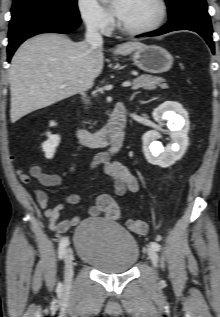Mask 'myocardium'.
Returning a JSON list of instances; mask_svg holds the SVG:
<instances>
[{
    "instance_id": "obj_1",
    "label": "myocardium",
    "mask_w": 220,
    "mask_h": 317,
    "mask_svg": "<svg viewBox=\"0 0 220 317\" xmlns=\"http://www.w3.org/2000/svg\"><path fill=\"white\" fill-rule=\"evenodd\" d=\"M158 6H159V16L157 18V20L144 28H139V29H132V28H128L123 26L119 21L116 22V27L117 29L122 32L125 35H129V36H142V35H147L150 33L155 32L156 30H158L164 23L167 14H168V6L166 3V0H156Z\"/></svg>"
}]
</instances>
